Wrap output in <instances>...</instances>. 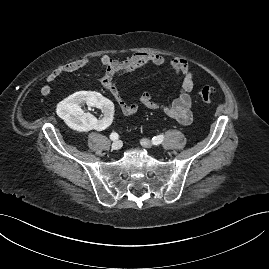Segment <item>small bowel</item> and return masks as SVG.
Masks as SVG:
<instances>
[{
  "label": "small bowel",
  "instance_id": "small-bowel-1",
  "mask_svg": "<svg viewBox=\"0 0 269 269\" xmlns=\"http://www.w3.org/2000/svg\"><path fill=\"white\" fill-rule=\"evenodd\" d=\"M99 61L104 70L101 77V84L111 93L118 108L124 115H135L141 105L148 109L161 111L182 125L192 123V91L195 87L194 73L185 58L175 56L168 59L161 54L138 52L125 59H115L108 54H103L100 56ZM92 64L93 61L91 58L83 57L56 67L47 75L46 83L40 90L41 94L48 96L51 93L52 85L61 76L88 68ZM149 64L157 66L168 65L175 75L181 79L180 93L170 104H161L155 101L148 92H142L139 95L138 103L127 102L121 96L117 87L118 78L123 74L131 73Z\"/></svg>",
  "mask_w": 269,
  "mask_h": 269
}]
</instances>
